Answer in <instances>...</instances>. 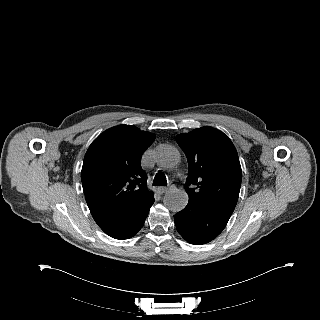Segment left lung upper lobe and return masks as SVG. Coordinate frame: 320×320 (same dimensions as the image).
<instances>
[{
  "instance_id": "5c2ea615",
  "label": "left lung upper lobe",
  "mask_w": 320,
  "mask_h": 320,
  "mask_svg": "<svg viewBox=\"0 0 320 320\" xmlns=\"http://www.w3.org/2000/svg\"><path fill=\"white\" fill-rule=\"evenodd\" d=\"M176 141L188 160L189 198L232 215L240 192L242 171L237 151L227 135L202 127L182 133Z\"/></svg>"
}]
</instances>
